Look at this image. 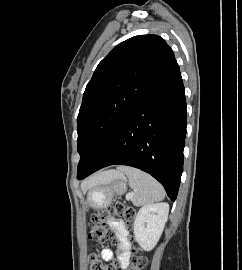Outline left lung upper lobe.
<instances>
[{"mask_svg":"<svg viewBox=\"0 0 242 270\" xmlns=\"http://www.w3.org/2000/svg\"><path fill=\"white\" fill-rule=\"evenodd\" d=\"M175 61L172 49L160 36L140 35L117 45L99 63L77 117V176L91 166L121 122Z\"/></svg>","mask_w":242,"mask_h":270,"instance_id":"obj_1","label":"left lung upper lobe"}]
</instances>
